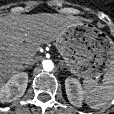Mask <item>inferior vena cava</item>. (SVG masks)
<instances>
[{"label":"inferior vena cava","instance_id":"inferior-vena-cava-1","mask_svg":"<svg viewBox=\"0 0 114 114\" xmlns=\"http://www.w3.org/2000/svg\"><path fill=\"white\" fill-rule=\"evenodd\" d=\"M35 63V61L34 60H26L25 61V66H32L33 64Z\"/></svg>","mask_w":114,"mask_h":114}]
</instances>
